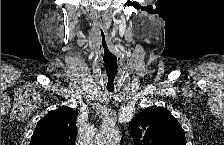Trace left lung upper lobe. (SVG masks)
<instances>
[{"instance_id":"obj_1","label":"left lung upper lobe","mask_w":224,"mask_h":145,"mask_svg":"<svg viewBox=\"0 0 224 145\" xmlns=\"http://www.w3.org/2000/svg\"><path fill=\"white\" fill-rule=\"evenodd\" d=\"M135 145H185V133L164 108H147L129 124Z\"/></svg>"}]
</instances>
